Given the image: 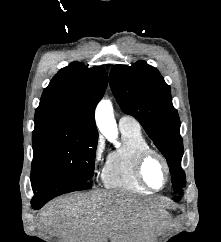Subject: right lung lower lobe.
Masks as SVG:
<instances>
[{
    "label": "right lung lower lobe",
    "instance_id": "right-lung-lower-lobe-1",
    "mask_svg": "<svg viewBox=\"0 0 221 242\" xmlns=\"http://www.w3.org/2000/svg\"><path fill=\"white\" fill-rule=\"evenodd\" d=\"M34 197L31 201L33 209H40L49 200L61 194L90 189L88 181L62 176H31Z\"/></svg>",
    "mask_w": 221,
    "mask_h": 242
}]
</instances>
